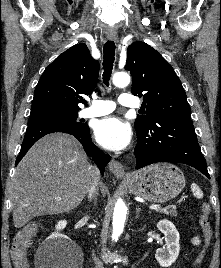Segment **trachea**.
I'll list each match as a JSON object with an SVG mask.
<instances>
[{
    "instance_id": "3493384b",
    "label": "trachea",
    "mask_w": 221,
    "mask_h": 268,
    "mask_svg": "<svg viewBox=\"0 0 221 268\" xmlns=\"http://www.w3.org/2000/svg\"><path fill=\"white\" fill-rule=\"evenodd\" d=\"M104 60H103V80L104 83L109 86V80L111 77L113 63L115 60V43L108 40L103 47Z\"/></svg>"
}]
</instances>
